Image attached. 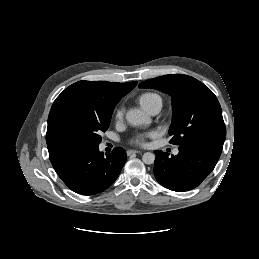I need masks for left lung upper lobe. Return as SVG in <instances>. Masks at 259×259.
Instances as JSON below:
<instances>
[{
	"label": "left lung upper lobe",
	"instance_id": "obj_1",
	"mask_svg": "<svg viewBox=\"0 0 259 259\" xmlns=\"http://www.w3.org/2000/svg\"><path fill=\"white\" fill-rule=\"evenodd\" d=\"M167 93L172 101L170 143L183 146L195 141L224 143L226 128L220 104L214 93L197 79L183 74H170L139 84Z\"/></svg>",
	"mask_w": 259,
	"mask_h": 259
}]
</instances>
